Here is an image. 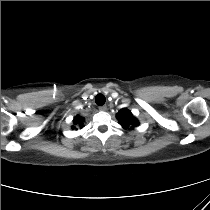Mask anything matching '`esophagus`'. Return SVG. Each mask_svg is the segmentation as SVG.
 Wrapping results in <instances>:
<instances>
[{"label": "esophagus", "mask_w": 210, "mask_h": 210, "mask_svg": "<svg viewBox=\"0 0 210 210\" xmlns=\"http://www.w3.org/2000/svg\"><path fill=\"white\" fill-rule=\"evenodd\" d=\"M99 110H100V111H106V110H107V107H106L105 105L100 106V107H99Z\"/></svg>", "instance_id": "esophagus-1"}]
</instances>
